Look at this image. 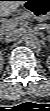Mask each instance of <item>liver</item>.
<instances>
[{
    "label": "liver",
    "instance_id": "1",
    "mask_svg": "<svg viewBox=\"0 0 50 111\" xmlns=\"http://www.w3.org/2000/svg\"><path fill=\"white\" fill-rule=\"evenodd\" d=\"M24 4L23 1H1L0 2V14L1 16H9L14 13L20 5Z\"/></svg>",
    "mask_w": 50,
    "mask_h": 111
}]
</instances>
